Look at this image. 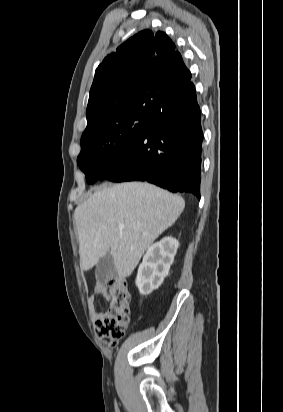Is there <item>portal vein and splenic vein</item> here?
Instances as JSON below:
<instances>
[{"label":"portal vein and splenic vein","instance_id":"1","mask_svg":"<svg viewBox=\"0 0 283 412\" xmlns=\"http://www.w3.org/2000/svg\"><path fill=\"white\" fill-rule=\"evenodd\" d=\"M118 227H119V229H123L124 226H123V224H119Z\"/></svg>","mask_w":283,"mask_h":412}]
</instances>
